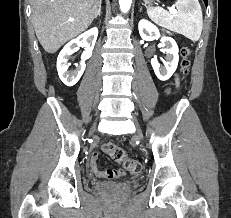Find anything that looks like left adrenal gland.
<instances>
[{
	"instance_id": "obj_1",
	"label": "left adrenal gland",
	"mask_w": 231,
	"mask_h": 218,
	"mask_svg": "<svg viewBox=\"0 0 231 218\" xmlns=\"http://www.w3.org/2000/svg\"><path fill=\"white\" fill-rule=\"evenodd\" d=\"M140 12L142 11V8H140V10H139Z\"/></svg>"
}]
</instances>
